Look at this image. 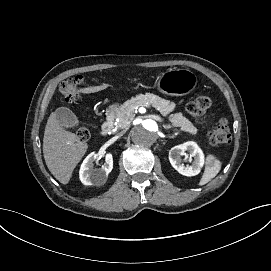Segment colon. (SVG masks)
Listing matches in <instances>:
<instances>
[{"label":"colon","instance_id":"5ec220e1","mask_svg":"<svg viewBox=\"0 0 271 271\" xmlns=\"http://www.w3.org/2000/svg\"><path fill=\"white\" fill-rule=\"evenodd\" d=\"M85 85V79L82 76H77L63 81L59 86V92L65 101L71 102L79 97ZM213 101V93L206 92L199 95L195 100L190 101L186 108L193 117L208 125L207 137L211 144L226 145L231 142V132L228 122L221 119L212 124L205 118L206 111L210 108ZM76 134L81 140L86 141L91 135V128L80 125L76 128Z\"/></svg>","mask_w":271,"mask_h":271}]
</instances>
